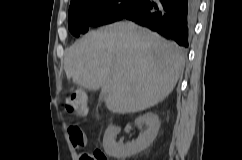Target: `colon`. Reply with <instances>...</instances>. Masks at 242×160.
<instances>
[{"mask_svg":"<svg viewBox=\"0 0 242 160\" xmlns=\"http://www.w3.org/2000/svg\"><path fill=\"white\" fill-rule=\"evenodd\" d=\"M64 108L68 113L88 112L89 106L86 96L80 91L70 92L64 100ZM68 133L76 146H82L84 143V136L81 128L77 125H70ZM83 160H108L107 156L99 150L92 154L85 153Z\"/></svg>","mask_w":242,"mask_h":160,"instance_id":"1","label":"colon"}]
</instances>
